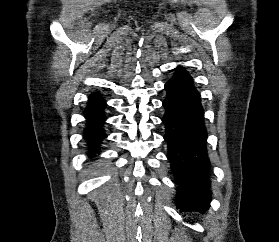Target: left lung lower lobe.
I'll use <instances>...</instances> for the list:
<instances>
[{"label": "left lung lower lobe", "mask_w": 279, "mask_h": 242, "mask_svg": "<svg viewBox=\"0 0 279 242\" xmlns=\"http://www.w3.org/2000/svg\"><path fill=\"white\" fill-rule=\"evenodd\" d=\"M165 90L162 122L167 158L178 186L175 200L181 212H202L211 201V169L200 96L191 76L180 67L166 83Z\"/></svg>", "instance_id": "obj_1"}]
</instances>
